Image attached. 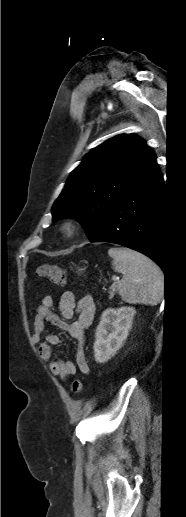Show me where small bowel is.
I'll use <instances>...</instances> for the list:
<instances>
[{"label":"small bowel","mask_w":186,"mask_h":517,"mask_svg":"<svg viewBox=\"0 0 186 517\" xmlns=\"http://www.w3.org/2000/svg\"><path fill=\"white\" fill-rule=\"evenodd\" d=\"M54 299L52 296H45L41 304L37 307L34 318V332L32 339L38 344L39 356L42 360L49 363L51 373L63 380L74 375L79 369L83 374L90 372L88 361L83 349L85 343V330L91 325L96 306L90 295H85L78 301L72 292H64L60 298L58 310L59 315L53 312ZM77 314V320L67 322ZM50 323L69 334L77 343L75 362L69 360H52V346L59 344L58 335L47 334L44 341L42 336L46 324Z\"/></svg>","instance_id":"obj_1"}]
</instances>
